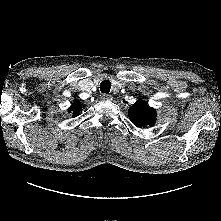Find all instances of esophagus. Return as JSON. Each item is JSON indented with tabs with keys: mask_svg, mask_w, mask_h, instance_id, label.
Segmentation results:
<instances>
[{
	"mask_svg": "<svg viewBox=\"0 0 221 221\" xmlns=\"http://www.w3.org/2000/svg\"><path fill=\"white\" fill-rule=\"evenodd\" d=\"M101 98L106 101H111L113 99L112 95L102 94Z\"/></svg>",
	"mask_w": 221,
	"mask_h": 221,
	"instance_id": "obj_1",
	"label": "esophagus"
}]
</instances>
